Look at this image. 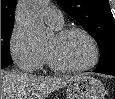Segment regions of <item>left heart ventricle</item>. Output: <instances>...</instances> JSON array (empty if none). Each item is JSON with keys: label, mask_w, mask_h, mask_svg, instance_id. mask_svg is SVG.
I'll list each match as a JSON object with an SVG mask.
<instances>
[{"label": "left heart ventricle", "mask_w": 115, "mask_h": 99, "mask_svg": "<svg viewBox=\"0 0 115 99\" xmlns=\"http://www.w3.org/2000/svg\"><path fill=\"white\" fill-rule=\"evenodd\" d=\"M45 52L61 66H81L92 57V48L88 40L79 33L63 38L54 35L45 47Z\"/></svg>", "instance_id": "1"}]
</instances>
